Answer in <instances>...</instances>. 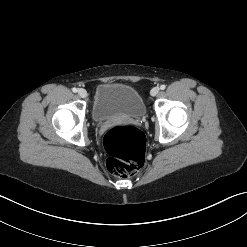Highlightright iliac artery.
Here are the masks:
<instances>
[{
  "label": "right iliac artery",
  "mask_w": 247,
  "mask_h": 247,
  "mask_svg": "<svg viewBox=\"0 0 247 247\" xmlns=\"http://www.w3.org/2000/svg\"><path fill=\"white\" fill-rule=\"evenodd\" d=\"M72 91L74 92V93H76L78 90H77V88H72Z\"/></svg>",
  "instance_id": "obj_1"
}]
</instances>
